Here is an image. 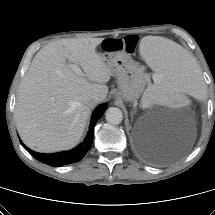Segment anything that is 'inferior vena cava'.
Listing matches in <instances>:
<instances>
[{
    "label": "inferior vena cava",
    "mask_w": 215,
    "mask_h": 215,
    "mask_svg": "<svg viewBox=\"0 0 215 215\" xmlns=\"http://www.w3.org/2000/svg\"><path fill=\"white\" fill-rule=\"evenodd\" d=\"M101 97L98 95H95L91 98V100L89 101V105L91 107H94L96 104H98L101 101Z\"/></svg>",
    "instance_id": "inferior-vena-cava-1"
}]
</instances>
